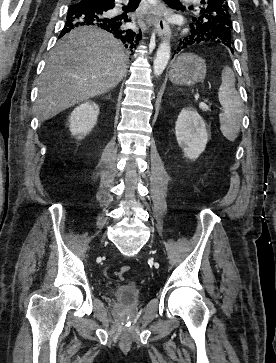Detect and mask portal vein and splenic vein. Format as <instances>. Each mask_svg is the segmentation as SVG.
Returning a JSON list of instances; mask_svg holds the SVG:
<instances>
[{"label":"portal vein and splenic vein","instance_id":"18ae733b","mask_svg":"<svg viewBox=\"0 0 276 363\" xmlns=\"http://www.w3.org/2000/svg\"><path fill=\"white\" fill-rule=\"evenodd\" d=\"M199 106H200V108H202V109H208V108H209V107H208V105H207L204 101L200 102V103H199Z\"/></svg>","mask_w":276,"mask_h":363}]
</instances>
